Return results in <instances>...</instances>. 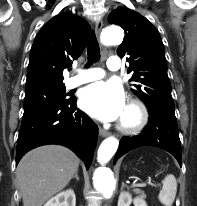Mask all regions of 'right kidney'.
I'll return each instance as SVG.
<instances>
[{
  "label": "right kidney",
  "instance_id": "1",
  "mask_svg": "<svg viewBox=\"0 0 197 206\" xmlns=\"http://www.w3.org/2000/svg\"><path fill=\"white\" fill-rule=\"evenodd\" d=\"M76 197L72 189L60 192L52 197L44 206H75Z\"/></svg>",
  "mask_w": 197,
  "mask_h": 206
}]
</instances>
